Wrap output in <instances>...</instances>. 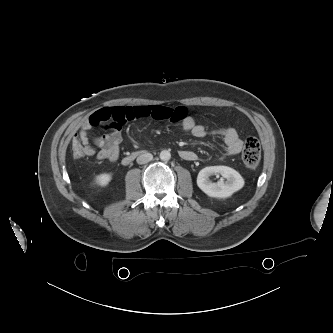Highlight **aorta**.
Instances as JSON below:
<instances>
[{"label": "aorta", "instance_id": "762f6f07", "mask_svg": "<svg viewBox=\"0 0 333 333\" xmlns=\"http://www.w3.org/2000/svg\"><path fill=\"white\" fill-rule=\"evenodd\" d=\"M170 158H171V154L168 150H162L160 152V159L162 161H168V160H170Z\"/></svg>", "mask_w": 333, "mask_h": 333}]
</instances>
